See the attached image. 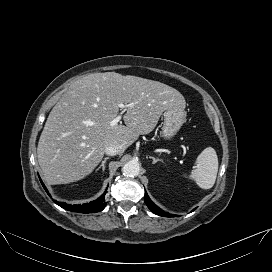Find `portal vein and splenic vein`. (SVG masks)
I'll use <instances>...</instances> for the list:
<instances>
[{
  "label": "portal vein and splenic vein",
  "instance_id": "obj_1",
  "mask_svg": "<svg viewBox=\"0 0 272 272\" xmlns=\"http://www.w3.org/2000/svg\"><path fill=\"white\" fill-rule=\"evenodd\" d=\"M119 106V108H121V109H125L126 107H132L133 106V103H131V104H128V105H124V104H119L118 105ZM121 120V116L119 115V116H117V117H115L111 122H110V126H116V125H118V122Z\"/></svg>",
  "mask_w": 272,
  "mask_h": 272
}]
</instances>
